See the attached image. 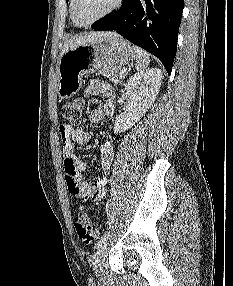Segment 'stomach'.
Masks as SVG:
<instances>
[{
	"instance_id": "1",
	"label": "stomach",
	"mask_w": 233,
	"mask_h": 286,
	"mask_svg": "<svg viewBox=\"0 0 233 286\" xmlns=\"http://www.w3.org/2000/svg\"><path fill=\"white\" fill-rule=\"evenodd\" d=\"M135 57L131 44L119 35L102 37L70 48L58 62V94L68 99L80 89L83 75L104 67H122L134 61Z\"/></svg>"
}]
</instances>
